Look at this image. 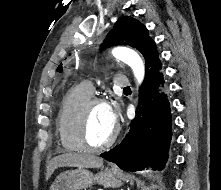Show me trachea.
Segmentation results:
<instances>
[{
  "mask_svg": "<svg viewBox=\"0 0 221 190\" xmlns=\"http://www.w3.org/2000/svg\"><path fill=\"white\" fill-rule=\"evenodd\" d=\"M124 90H130V87H125Z\"/></svg>",
  "mask_w": 221,
  "mask_h": 190,
  "instance_id": "obj_1",
  "label": "trachea"
}]
</instances>
